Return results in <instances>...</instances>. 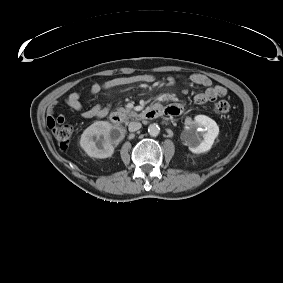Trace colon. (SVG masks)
<instances>
[{"label": "colon", "mask_w": 283, "mask_h": 283, "mask_svg": "<svg viewBox=\"0 0 283 283\" xmlns=\"http://www.w3.org/2000/svg\"><path fill=\"white\" fill-rule=\"evenodd\" d=\"M214 111L216 114L224 116L229 113L230 105L226 100H219L214 105ZM53 133L59 145L67 146L70 143L72 136L70 125L64 123L58 126L54 125Z\"/></svg>", "instance_id": "1"}]
</instances>
